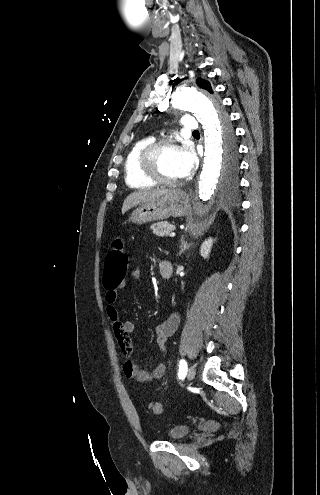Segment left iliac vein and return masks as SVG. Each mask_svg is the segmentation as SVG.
Returning a JSON list of instances; mask_svg holds the SVG:
<instances>
[{
	"label": "left iliac vein",
	"instance_id": "left-iliac-vein-1",
	"mask_svg": "<svg viewBox=\"0 0 320 495\" xmlns=\"http://www.w3.org/2000/svg\"><path fill=\"white\" fill-rule=\"evenodd\" d=\"M195 377V368L193 366H190L187 371V379L188 380H193Z\"/></svg>",
	"mask_w": 320,
	"mask_h": 495
}]
</instances>
